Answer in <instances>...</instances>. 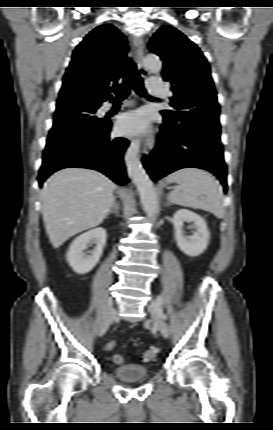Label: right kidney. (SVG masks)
Masks as SVG:
<instances>
[{
    "mask_svg": "<svg viewBox=\"0 0 273 430\" xmlns=\"http://www.w3.org/2000/svg\"><path fill=\"white\" fill-rule=\"evenodd\" d=\"M106 236V230L98 227L78 236L71 243L66 257L75 273L86 274L96 266L102 255ZM91 244H96V247L90 255H86L84 250Z\"/></svg>",
    "mask_w": 273,
    "mask_h": 430,
    "instance_id": "1",
    "label": "right kidney"
}]
</instances>
